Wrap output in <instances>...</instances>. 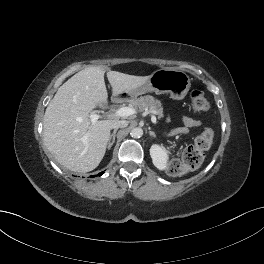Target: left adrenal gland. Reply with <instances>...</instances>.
<instances>
[{"instance_id": "obj_1", "label": "left adrenal gland", "mask_w": 264, "mask_h": 264, "mask_svg": "<svg viewBox=\"0 0 264 264\" xmlns=\"http://www.w3.org/2000/svg\"><path fill=\"white\" fill-rule=\"evenodd\" d=\"M149 135L152 137H156V134L153 131H149Z\"/></svg>"}]
</instances>
